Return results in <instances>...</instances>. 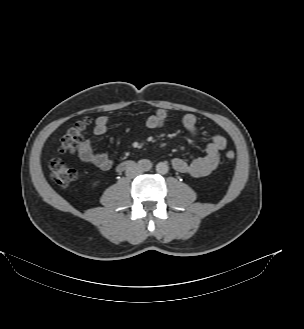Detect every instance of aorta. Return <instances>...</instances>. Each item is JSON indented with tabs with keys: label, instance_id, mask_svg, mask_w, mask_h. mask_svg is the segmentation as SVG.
Wrapping results in <instances>:
<instances>
[{
	"label": "aorta",
	"instance_id": "aorta-1",
	"mask_svg": "<svg viewBox=\"0 0 304 329\" xmlns=\"http://www.w3.org/2000/svg\"><path fill=\"white\" fill-rule=\"evenodd\" d=\"M168 170H169V167H168V165L165 162H159L156 165V171L159 174H166L168 172Z\"/></svg>",
	"mask_w": 304,
	"mask_h": 329
}]
</instances>
